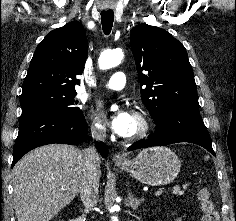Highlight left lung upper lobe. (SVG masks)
<instances>
[{
  "mask_svg": "<svg viewBox=\"0 0 236 221\" xmlns=\"http://www.w3.org/2000/svg\"><path fill=\"white\" fill-rule=\"evenodd\" d=\"M131 49L139 71L141 98L155 123L174 108L199 110L192 67L183 44L155 26H135Z\"/></svg>",
  "mask_w": 236,
  "mask_h": 221,
  "instance_id": "5c2ea615",
  "label": "left lung upper lobe"
}]
</instances>
